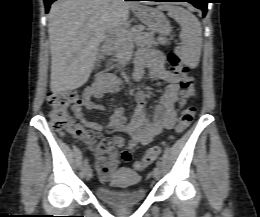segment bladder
I'll return each instance as SVG.
<instances>
[{"label": "bladder", "instance_id": "bladder-1", "mask_svg": "<svg viewBox=\"0 0 260 217\" xmlns=\"http://www.w3.org/2000/svg\"><path fill=\"white\" fill-rule=\"evenodd\" d=\"M140 175L127 167L116 170L109 187L98 186L96 196L103 202L125 207L143 202L146 189L139 185Z\"/></svg>", "mask_w": 260, "mask_h": 217}]
</instances>
